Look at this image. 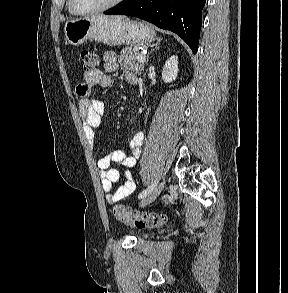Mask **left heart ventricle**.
I'll list each match as a JSON object with an SVG mask.
<instances>
[{
  "label": "left heart ventricle",
  "instance_id": "left-heart-ventricle-1",
  "mask_svg": "<svg viewBox=\"0 0 288 293\" xmlns=\"http://www.w3.org/2000/svg\"><path fill=\"white\" fill-rule=\"evenodd\" d=\"M111 1L112 0H75V3L82 9H92L105 5Z\"/></svg>",
  "mask_w": 288,
  "mask_h": 293
}]
</instances>
